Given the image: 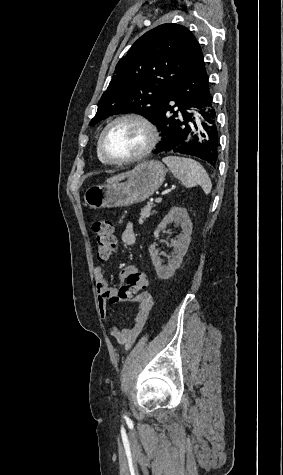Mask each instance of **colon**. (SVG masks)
I'll return each instance as SVG.
<instances>
[{
	"instance_id": "obj_1",
	"label": "colon",
	"mask_w": 283,
	"mask_h": 475,
	"mask_svg": "<svg viewBox=\"0 0 283 475\" xmlns=\"http://www.w3.org/2000/svg\"><path fill=\"white\" fill-rule=\"evenodd\" d=\"M95 234L96 256L99 261L108 260L116 252L113 225L105 219H94L91 223ZM148 278L142 272H132L127 276V284L118 288V298L127 301L131 296L146 290Z\"/></svg>"
}]
</instances>
